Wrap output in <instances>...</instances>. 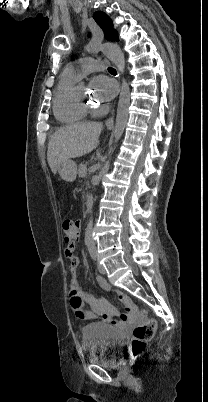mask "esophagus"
Masks as SVG:
<instances>
[{
  "instance_id": "esophagus-1",
  "label": "esophagus",
  "mask_w": 208,
  "mask_h": 402,
  "mask_svg": "<svg viewBox=\"0 0 208 402\" xmlns=\"http://www.w3.org/2000/svg\"><path fill=\"white\" fill-rule=\"evenodd\" d=\"M106 125L107 126H112L114 125V110L112 111L111 116L108 118V120L106 121Z\"/></svg>"
}]
</instances>
